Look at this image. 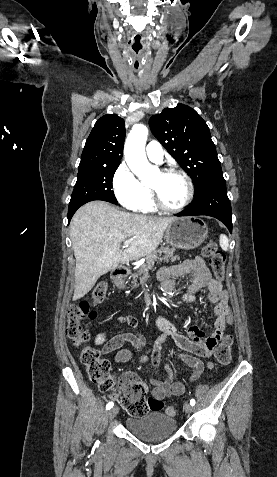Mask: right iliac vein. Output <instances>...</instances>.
Masks as SVG:
<instances>
[{
  "label": "right iliac vein",
  "mask_w": 277,
  "mask_h": 477,
  "mask_svg": "<svg viewBox=\"0 0 277 477\" xmlns=\"http://www.w3.org/2000/svg\"><path fill=\"white\" fill-rule=\"evenodd\" d=\"M118 412H119L118 407L112 408V409L108 412V418H109L110 420H112V419L118 414Z\"/></svg>",
  "instance_id": "1"
}]
</instances>
